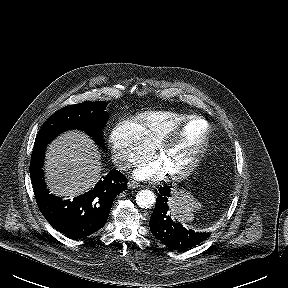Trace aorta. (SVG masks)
<instances>
[{"label": "aorta", "mask_w": 288, "mask_h": 288, "mask_svg": "<svg viewBox=\"0 0 288 288\" xmlns=\"http://www.w3.org/2000/svg\"><path fill=\"white\" fill-rule=\"evenodd\" d=\"M155 194L148 189L141 190L136 195V203L141 208H149L155 203Z\"/></svg>", "instance_id": "obj_1"}]
</instances>
